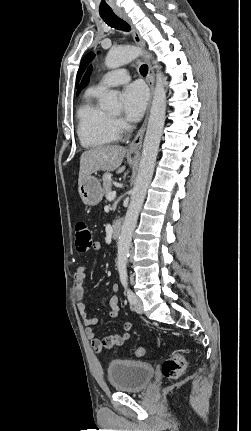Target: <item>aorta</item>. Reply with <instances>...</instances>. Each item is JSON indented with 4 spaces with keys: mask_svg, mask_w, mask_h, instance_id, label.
Masks as SVG:
<instances>
[{
    "mask_svg": "<svg viewBox=\"0 0 251 431\" xmlns=\"http://www.w3.org/2000/svg\"><path fill=\"white\" fill-rule=\"evenodd\" d=\"M142 54L139 47H114L111 48L106 56L105 64L109 69H115L136 59ZM151 57V55H147ZM155 63V62H154ZM157 69L156 85L153 94V101L147 131L143 143V151L139 165L138 175L135 180L131 194V201L122 225L121 234L117 243V267L125 270L132 235L137 224L138 216L142 208L148 186L151 182L155 162L158 154L159 144L165 123L166 112V91L160 67L155 63ZM103 109H114L118 107L117 93L109 91L101 102Z\"/></svg>",
    "mask_w": 251,
    "mask_h": 431,
    "instance_id": "762f6f07",
    "label": "aorta"
}]
</instances>
